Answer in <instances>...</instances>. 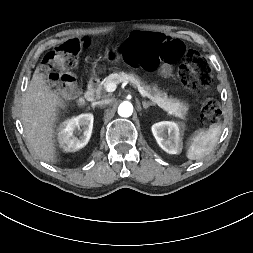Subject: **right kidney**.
Here are the masks:
<instances>
[{
	"instance_id": "1",
	"label": "right kidney",
	"mask_w": 253,
	"mask_h": 253,
	"mask_svg": "<svg viewBox=\"0 0 253 253\" xmlns=\"http://www.w3.org/2000/svg\"><path fill=\"white\" fill-rule=\"evenodd\" d=\"M94 116L91 113L81 114L64 121L58 133L60 147L65 152H75L83 148L89 141L93 129ZM83 132L80 137L75 134Z\"/></svg>"
}]
</instances>
